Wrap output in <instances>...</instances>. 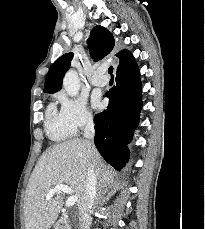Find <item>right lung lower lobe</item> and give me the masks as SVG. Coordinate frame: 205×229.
<instances>
[{
  "mask_svg": "<svg viewBox=\"0 0 205 229\" xmlns=\"http://www.w3.org/2000/svg\"><path fill=\"white\" fill-rule=\"evenodd\" d=\"M106 97L107 109L94 117V143L102 157L120 170L128 161L127 144L132 140L142 108L140 73L135 60L117 68L116 85Z\"/></svg>",
  "mask_w": 205,
  "mask_h": 229,
  "instance_id": "98d812e1",
  "label": "right lung lower lobe"
}]
</instances>
